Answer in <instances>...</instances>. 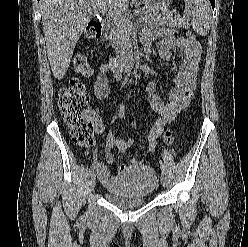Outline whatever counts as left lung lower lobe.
<instances>
[{
  "label": "left lung lower lobe",
  "mask_w": 248,
  "mask_h": 247,
  "mask_svg": "<svg viewBox=\"0 0 248 247\" xmlns=\"http://www.w3.org/2000/svg\"><path fill=\"white\" fill-rule=\"evenodd\" d=\"M212 7L214 8L215 0H210Z\"/></svg>",
  "instance_id": "1"
}]
</instances>
